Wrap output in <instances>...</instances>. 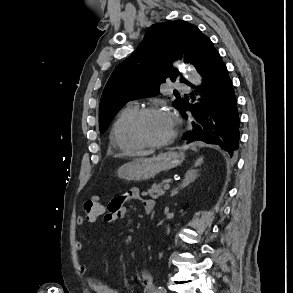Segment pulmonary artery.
<instances>
[{"instance_id":"e3ab8cb5","label":"pulmonary artery","mask_w":293,"mask_h":293,"mask_svg":"<svg viewBox=\"0 0 293 293\" xmlns=\"http://www.w3.org/2000/svg\"><path fill=\"white\" fill-rule=\"evenodd\" d=\"M173 86L177 90H182V91L188 90V88L185 85H182L180 83H175Z\"/></svg>"}]
</instances>
